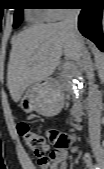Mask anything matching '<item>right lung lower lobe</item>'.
<instances>
[{
    "mask_svg": "<svg viewBox=\"0 0 104 169\" xmlns=\"http://www.w3.org/2000/svg\"><path fill=\"white\" fill-rule=\"evenodd\" d=\"M83 8L78 19L80 32L100 50H103L104 41L101 30L102 7L99 0H87L82 3Z\"/></svg>",
    "mask_w": 104,
    "mask_h": 169,
    "instance_id": "right-lung-lower-lobe-1",
    "label": "right lung lower lobe"
}]
</instances>
